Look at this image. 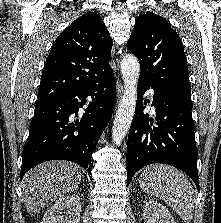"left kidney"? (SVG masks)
Here are the masks:
<instances>
[{
    "label": "left kidney",
    "mask_w": 221,
    "mask_h": 223,
    "mask_svg": "<svg viewBox=\"0 0 221 223\" xmlns=\"http://www.w3.org/2000/svg\"><path fill=\"white\" fill-rule=\"evenodd\" d=\"M143 219L144 223H176L168 209L154 200L145 204Z\"/></svg>",
    "instance_id": "left-kidney-1"
}]
</instances>
